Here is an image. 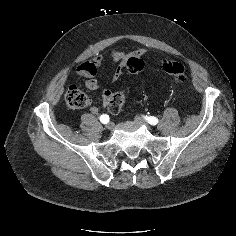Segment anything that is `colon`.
<instances>
[{"label":"colon","instance_id":"colon-1","mask_svg":"<svg viewBox=\"0 0 236 236\" xmlns=\"http://www.w3.org/2000/svg\"><path fill=\"white\" fill-rule=\"evenodd\" d=\"M145 67V63L142 59L132 57L127 62V68L132 73H138ZM163 71L168 74L175 82L183 83L185 81V67L178 61L169 60L163 63ZM65 102L69 109L77 110L86 107L89 104L87 95L80 90L77 86H70L65 92ZM125 93L118 92L113 94L107 107L108 110L116 114L118 113L124 104Z\"/></svg>","mask_w":236,"mask_h":236}]
</instances>
